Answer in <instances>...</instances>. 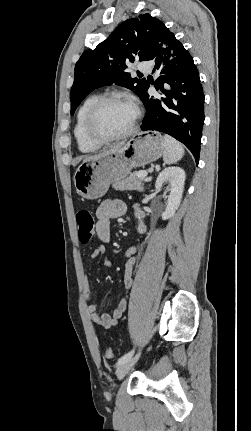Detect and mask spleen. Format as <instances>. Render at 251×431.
Returning <instances> with one entry per match:
<instances>
[{
	"label": "spleen",
	"instance_id": "obj_1",
	"mask_svg": "<svg viewBox=\"0 0 251 431\" xmlns=\"http://www.w3.org/2000/svg\"><path fill=\"white\" fill-rule=\"evenodd\" d=\"M163 160L166 164H173L179 161L184 155L183 146L174 138L164 135Z\"/></svg>",
	"mask_w": 251,
	"mask_h": 431
}]
</instances>
